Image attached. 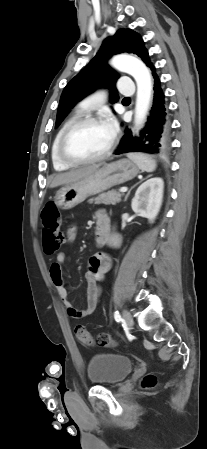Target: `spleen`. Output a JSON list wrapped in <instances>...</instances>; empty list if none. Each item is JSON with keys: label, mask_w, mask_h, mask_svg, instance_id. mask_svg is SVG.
Returning a JSON list of instances; mask_svg holds the SVG:
<instances>
[{"label": "spleen", "mask_w": 207, "mask_h": 449, "mask_svg": "<svg viewBox=\"0 0 207 449\" xmlns=\"http://www.w3.org/2000/svg\"><path fill=\"white\" fill-rule=\"evenodd\" d=\"M127 157L132 160L139 169L146 172H152L156 168V162L149 157L141 153H129Z\"/></svg>", "instance_id": "1"}]
</instances>
